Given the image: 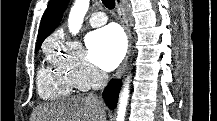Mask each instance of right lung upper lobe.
Segmentation results:
<instances>
[{
  "mask_svg": "<svg viewBox=\"0 0 217 121\" xmlns=\"http://www.w3.org/2000/svg\"><path fill=\"white\" fill-rule=\"evenodd\" d=\"M68 0H50L48 7L41 19L36 49L39 50L42 42L53 32L60 22L63 12L66 9Z\"/></svg>",
  "mask_w": 217,
  "mask_h": 121,
  "instance_id": "obj_1",
  "label": "right lung upper lobe"
}]
</instances>
